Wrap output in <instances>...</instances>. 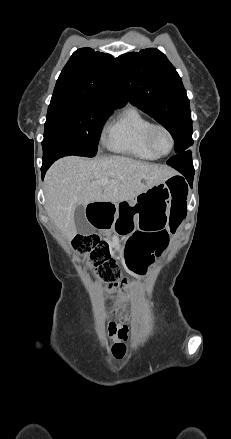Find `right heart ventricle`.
Here are the masks:
<instances>
[{
    "label": "right heart ventricle",
    "instance_id": "right-heart-ventricle-1",
    "mask_svg": "<svg viewBox=\"0 0 231 439\" xmlns=\"http://www.w3.org/2000/svg\"><path fill=\"white\" fill-rule=\"evenodd\" d=\"M152 122L134 107L124 109L106 129L105 146L112 152L140 160H156L146 134Z\"/></svg>",
    "mask_w": 231,
    "mask_h": 439
}]
</instances>
